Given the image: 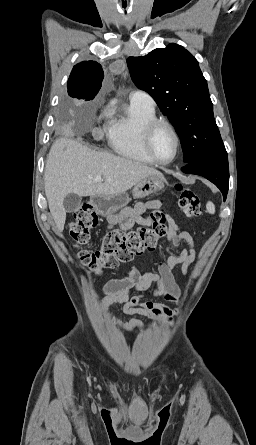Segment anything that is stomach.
<instances>
[{
    "label": "stomach",
    "mask_w": 256,
    "mask_h": 445,
    "mask_svg": "<svg viewBox=\"0 0 256 445\" xmlns=\"http://www.w3.org/2000/svg\"><path fill=\"white\" fill-rule=\"evenodd\" d=\"M166 180L163 175H152L134 186L132 195L135 199L144 198L150 194L157 193L164 188ZM129 195L119 194L113 196H94L92 203L96 211L108 218L113 217L119 210H122L129 203Z\"/></svg>",
    "instance_id": "stomach-1"
}]
</instances>
